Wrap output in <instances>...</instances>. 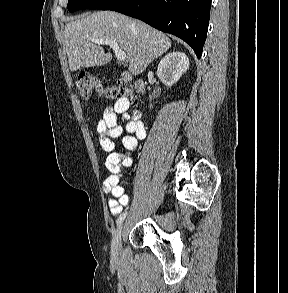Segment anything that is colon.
<instances>
[{"mask_svg": "<svg viewBox=\"0 0 288 293\" xmlns=\"http://www.w3.org/2000/svg\"><path fill=\"white\" fill-rule=\"evenodd\" d=\"M76 86L82 98L87 101L105 96L109 99H127L131 103H136L138 98L137 92L127 84L118 82L115 85L105 87L97 77L90 74L79 76Z\"/></svg>", "mask_w": 288, "mask_h": 293, "instance_id": "colon-1", "label": "colon"}]
</instances>
